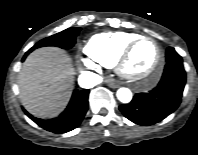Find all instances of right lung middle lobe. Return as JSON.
Masks as SVG:
<instances>
[{"mask_svg": "<svg viewBox=\"0 0 198 155\" xmlns=\"http://www.w3.org/2000/svg\"><path fill=\"white\" fill-rule=\"evenodd\" d=\"M79 31V27L66 29L60 33L41 40L35 46H33L29 52L33 51L35 48L43 46H57L63 49H70L75 44V38L79 34Z\"/></svg>", "mask_w": 198, "mask_h": 155, "instance_id": "dd1d6c3e", "label": "right lung middle lobe"}]
</instances>
